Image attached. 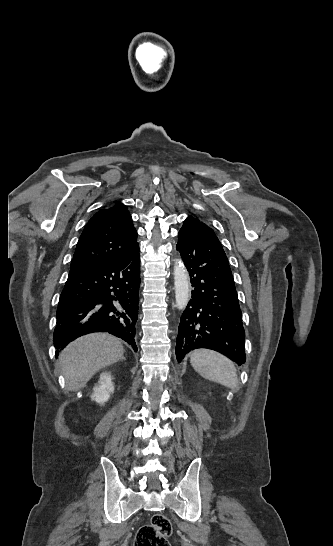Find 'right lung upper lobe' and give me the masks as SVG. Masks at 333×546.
Segmentation results:
<instances>
[{
    "label": "right lung upper lobe",
    "mask_w": 333,
    "mask_h": 546,
    "mask_svg": "<svg viewBox=\"0 0 333 546\" xmlns=\"http://www.w3.org/2000/svg\"><path fill=\"white\" fill-rule=\"evenodd\" d=\"M137 243V232L126 206L100 210L86 224L79 238L71 268L103 264L129 253Z\"/></svg>",
    "instance_id": "obj_1"
}]
</instances>
